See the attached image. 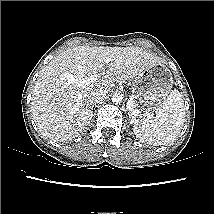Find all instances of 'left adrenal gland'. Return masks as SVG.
I'll return each instance as SVG.
<instances>
[{
	"instance_id": "1",
	"label": "left adrenal gland",
	"mask_w": 214,
	"mask_h": 214,
	"mask_svg": "<svg viewBox=\"0 0 214 214\" xmlns=\"http://www.w3.org/2000/svg\"><path fill=\"white\" fill-rule=\"evenodd\" d=\"M129 114V117H131V114L130 113H128Z\"/></svg>"
}]
</instances>
